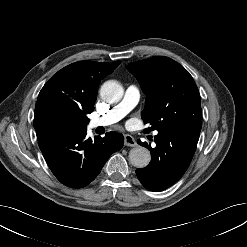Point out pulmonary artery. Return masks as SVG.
<instances>
[{
  "instance_id": "1",
  "label": "pulmonary artery",
  "mask_w": 247,
  "mask_h": 247,
  "mask_svg": "<svg viewBox=\"0 0 247 247\" xmlns=\"http://www.w3.org/2000/svg\"><path fill=\"white\" fill-rule=\"evenodd\" d=\"M139 98L140 94L138 88L135 86H129L125 91L121 102L104 115L91 119L89 122V128L95 129L98 127H105L118 122L138 104Z\"/></svg>"
}]
</instances>
